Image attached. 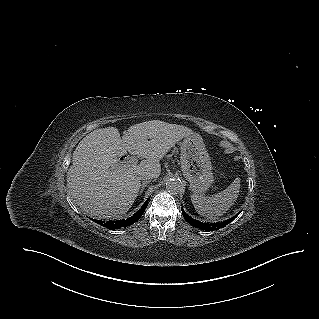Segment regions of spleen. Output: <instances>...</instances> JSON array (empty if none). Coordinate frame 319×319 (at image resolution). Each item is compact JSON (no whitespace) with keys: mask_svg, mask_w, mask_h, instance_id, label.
<instances>
[{"mask_svg":"<svg viewBox=\"0 0 319 319\" xmlns=\"http://www.w3.org/2000/svg\"><path fill=\"white\" fill-rule=\"evenodd\" d=\"M240 192V178H236L225 190L213 196L192 194L191 201L198 214L216 220L236 202Z\"/></svg>","mask_w":319,"mask_h":319,"instance_id":"1","label":"spleen"}]
</instances>
